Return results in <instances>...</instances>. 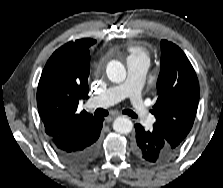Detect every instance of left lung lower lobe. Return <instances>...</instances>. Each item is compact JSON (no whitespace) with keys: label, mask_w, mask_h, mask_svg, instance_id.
I'll return each instance as SVG.
<instances>
[{"label":"left lung lower lobe","mask_w":223,"mask_h":188,"mask_svg":"<svg viewBox=\"0 0 223 188\" xmlns=\"http://www.w3.org/2000/svg\"><path fill=\"white\" fill-rule=\"evenodd\" d=\"M135 129L136 141L133 145V151L140 159L155 163L166 161L175 155L176 152L159 130L153 128L146 131L140 124H136Z\"/></svg>","instance_id":"left-lung-lower-lobe-1"}]
</instances>
